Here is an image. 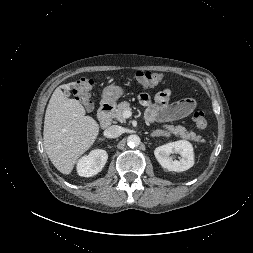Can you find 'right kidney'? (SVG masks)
Wrapping results in <instances>:
<instances>
[{"mask_svg": "<svg viewBox=\"0 0 253 253\" xmlns=\"http://www.w3.org/2000/svg\"><path fill=\"white\" fill-rule=\"evenodd\" d=\"M108 159L105 150L95 149L89 155L82 157L77 163V172L82 177H92L98 174Z\"/></svg>", "mask_w": 253, "mask_h": 253, "instance_id": "obj_1", "label": "right kidney"}]
</instances>
